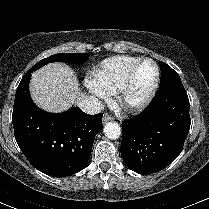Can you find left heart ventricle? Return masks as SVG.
<instances>
[{
	"label": "left heart ventricle",
	"instance_id": "left-heart-ventricle-1",
	"mask_svg": "<svg viewBox=\"0 0 209 209\" xmlns=\"http://www.w3.org/2000/svg\"><path fill=\"white\" fill-rule=\"evenodd\" d=\"M155 79V67L151 62H143L135 70L127 93L129 103H137L150 91Z\"/></svg>",
	"mask_w": 209,
	"mask_h": 209
}]
</instances>
